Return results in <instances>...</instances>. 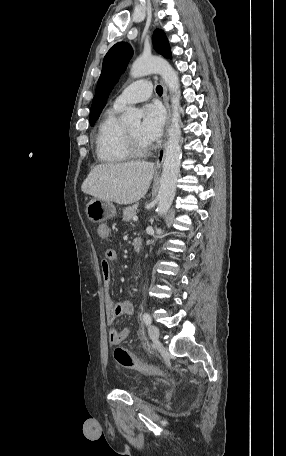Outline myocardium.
Masks as SVG:
<instances>
[{"mask_svg":"<svg viewBox=\"0 0 286 456\" xmlns=\"http://www.w3.org/2000/svg\"><path fill=\"white\" fill-rule=\"evenodd\" d=\"M126 149L131 157H143L149 153L151 146L140 145L127 128L124 130Z\"/></svg>","mask_w":286,"mask_h":456,"instance_id":"myocardium-1","label":"myocardium"}]
</instances>
